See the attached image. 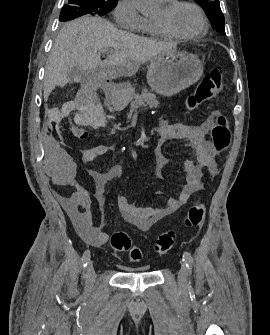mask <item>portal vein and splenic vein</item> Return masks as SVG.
<instances>
[{
    "instance_id": "obj_1",
    "label": "portal vein and splenic vein",
    "mask_w": 270,
    "mask_h": 335,
    "mask_svg": "<svg viewBox=\"0 0 270 335\" xmlns=\"http://www.w3.org/2000/svg\"><path fill=\"white\" fill-rule=\"evenodd\" d=\"M98 52H102V54H104V52H108V54H111V50H105V49H102V50H98ZM103 66H108V62H104Z\"/></svg>"
}]
</instances>
